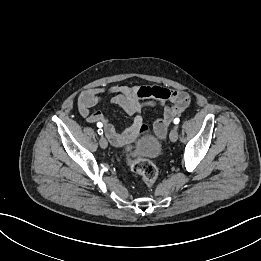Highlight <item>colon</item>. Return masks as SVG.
I'll use <instances>...</instances> for the list:
<instances>
[{
	"label": "colon",
	"instance_id": "5ec220e1",
	"mask_svg": "<svg viewBox=\"0 0 261 261\" xmlns=\"http://www.w3.org/2000/svg\"><path fill=\"white\" fill-rule=\"evenodd\" d=\"M128 164L131 170L138 174L146 187H152L158 177V170L155 164L148 159H131L128 158Z\"/></svg>",
	"mask_w": 261,
	"mask_h": 261
}]
</instances>
